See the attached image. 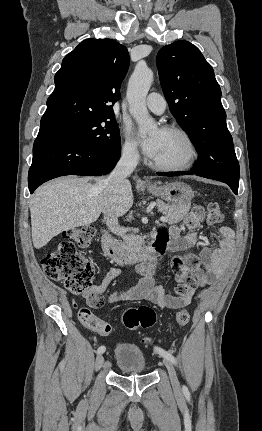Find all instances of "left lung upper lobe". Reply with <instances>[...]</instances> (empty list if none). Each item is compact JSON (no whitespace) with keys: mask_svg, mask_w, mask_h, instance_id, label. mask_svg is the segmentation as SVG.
<instances>
[{"mask_svg":"<svg viewBox=\"0 0 262 431\" xmlns=\"http://www.w3.org/2000/svg\"><path fill=\"white\" fill-rule=\"evenodd\" d=\"M156 63L169 109L199 153L193 171L239 185V163L211 65L188 41L161 48Z\"/></svg>","mask_w":262,"mask_h":431,"instance_id":"5c2ea615","label":"left lung upper lobe"}]
</instances>
